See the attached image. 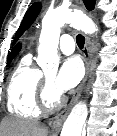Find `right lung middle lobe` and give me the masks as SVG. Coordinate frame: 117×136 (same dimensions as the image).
Here are the masks:
<instances>
[{"instance_id":"1","label":"right lung middle lobe","mask_w":117,"mask_h":136,"mask_svg":"<svg viewBox=\"0 0 117 136\" xmlns=\"http://www.w3.org/2000/svg\"><path fill=\"white\" fill-rule=\"evenodd\" d=\"M11 62V59L10 60H8V65H9V63Z\"/></svg>"}]
</instances>
